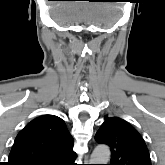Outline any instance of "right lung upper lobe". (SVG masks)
I'll return each instance as SVG.
<instances>
[{"mask_svg": "<svg viewBox=\"0 0 165 165\" xmlns=\"http://www.w3.org/2000/svg\"><path fill=\"white\" fill-rule=\"evenodd\" d=\"M73 148L65 122L43 115L28 123L17 135L7 165H50Z\"/></svg>", "mask_w": 165, "mask_h": 165, "instance_id": "cb5924a9", "label": "right lung upper lobe"}]
</instances>
